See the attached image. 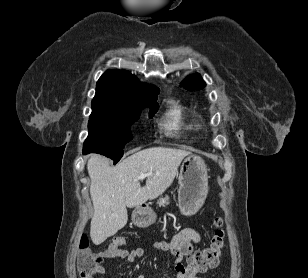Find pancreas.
Returning a JSON list of instances; mask_svg holds the SVG:
<instances>
[{
    "instance_id": "pancreas-1",
    "label": "pancreas",
    "mask_w": 308,
    "mask_h": 278,
    "mask_svg": "<svg viewBox=\"0 0 308 278\" xmlns=\"http://www.w3.org/2000/svg\"><path fill=\"white\" fill-rule=\"evenodd\" d=\"M168 201H169V197L168 196H165V197H161L158 199L157 203L159 206H162L164 207L165 205L168 204Z\"/></svg>"
}]
</instances>
